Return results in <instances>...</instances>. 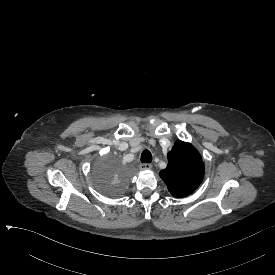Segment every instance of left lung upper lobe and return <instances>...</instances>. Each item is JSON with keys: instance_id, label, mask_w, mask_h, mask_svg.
<instances>
[{"instance_id": "1", "label": "left lung upper lobe", "mask_w": 275, "mask_h": 275, "mask_svg": "<svg viewBox=\"0 0 275 275\" xmlns=\"http://www.w3.org/2000/svg\"><path fill=\"white\" fill-rule=\"evenodd\" d=\"M167 157V168L159 175L170 193L180 198L195 191L204 176V163L198 151L190 143L177 140Z\"/></svg>"}]
</instances>
